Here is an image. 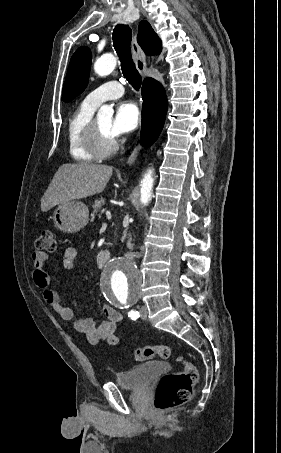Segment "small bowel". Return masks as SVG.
Masks as SVG:
<instances>
[{"label": "small bowel", "instance_id": "obj_1", "mask_svg": "<svg viewBox=\"0 0 281 453\" xmlns=\"http://www.w3.org/2000/svg\"><path fill=\"white\" fill-rule=\"evenodd\" d=\"M32 281L42 290L46 303L53 308L62 319L71 322L74 328L84 334L91 343H107L111 346L119 344L115 335L116 326L121 323L122 315L116 309L106 306L104 312L107 319L96 321L94 319L78 318L71 308L60 301L59 295L49 289L50 277L46 271L48 257L43 251H36L31 255ZM67 269H73L75 263V250L68 248L63 257Z\"/></svg>", "mask_w": 281, "mask_h": 453}]
</instances>
